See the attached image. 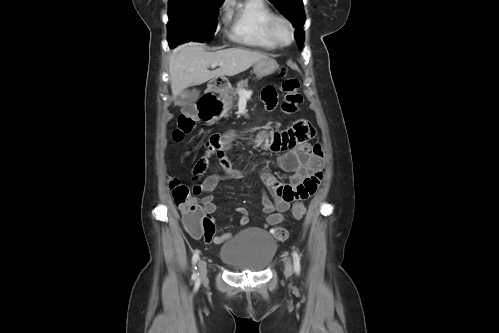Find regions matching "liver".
Listing matches in <instances>:
<instances>
[{"label":"liver","mask_w":499,"mask_h":333,"mask_svg":"<svg viewBox=\"0 0 499 333\" xmlns=\"http://www.w3.org/2000/svg\"><path fill=\"white\" fill-rule=\"evenodd\" d=\"M269 58L267 54L242 48H228L207 52L203 44L189 42L175 48L169 55V72L173 97L189 86L201 85L212 78L234 76L249 69L256 62ZM213 63L222 66L210 71Z\"/></svg>","instance_id":"liver-1"}]
</instances>
